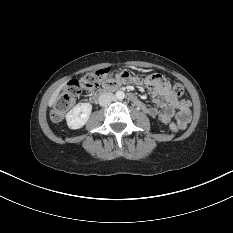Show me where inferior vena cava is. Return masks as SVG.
Wrapping results in <instances>:
<instances>
[{"label": "inferior vena cava", "instance_id": "inferior-vena-cava-1", "mask_svg": "<svg viewBox=\"0 0 233 233\" xmlns=\"http://www.w3.org/2000/svg\"><path fill=\"white\" fill-rule=\"evenodd\" d=\"M115 95L113 93H104L102 95H100L99 97V105L100 106H107L109 105L111 102H113L115 100Z\"/></svg>", "mask_w": 233, "mask_h": 233}]
</instances>
